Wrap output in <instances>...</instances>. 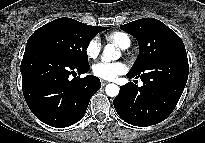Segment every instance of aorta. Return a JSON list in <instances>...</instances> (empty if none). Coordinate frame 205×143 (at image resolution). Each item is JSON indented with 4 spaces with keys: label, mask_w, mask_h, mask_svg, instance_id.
Masks as SVG:
<instances>
[{
    "label": "aorta",
    "mask_w": 205,
    "mask_h": 143,
    "mask_svg": "<svg viewBox=\"0 0 205 143\" xmlns=\"http://www.w3.org/2000/svg\"><path fill=\"white\" fill-rule=\"evenodd\" d=\"M119 58L120 52L116 49V47L113 44H107L102 54V60L105 62H110ZM105 92L109 97H116L119 94V87L114 83H110L106 85Z\"/></svg>",
    "instance_id": "aorta-1"
}]
</instances>
